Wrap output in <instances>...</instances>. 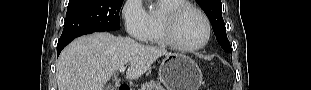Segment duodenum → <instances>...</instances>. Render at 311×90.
<instances>
[{
    "instance_id": "410a0bca",
    "label": "duodenum",
    "mask_w": 311,
    "mask_h": 90,
    "mask_svg": "<svg viewBox=\"0 0 311 90\" xmlns=\"http://www.w3.org/2000/svg\"><path fill=\"white\" fill-rule=\"evenodd\" d=\"M117 90H131V88H130V86L123 84V85H120L117 88Z\"/></svg>"
}]
</instances>
